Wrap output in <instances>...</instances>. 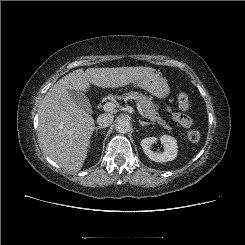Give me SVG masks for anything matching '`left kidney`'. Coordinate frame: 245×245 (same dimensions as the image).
Returning a JSON list of instances; mask_svg holds the SVG:
<instances>
[{"instance_id": "left-kidney-1", "label": "left kidney", "mask_w": 245, "mask_h": 245, "mask_svg": "<svg viewBox=\"0 0 245 245\" xmlns=\"http://www.w3.org/2000/svg\"><path fill=\"white\" fill-rule=\"evenodd\" d=\"M160 141L163 144L164 151L162 153H156L151 150L154 143L157 142V138L148 137L141 141V146L146 156L155 162H168L177 157L178 146L175 138L169 135H163L160 137Z\"/></svg>"}]
</instances>
